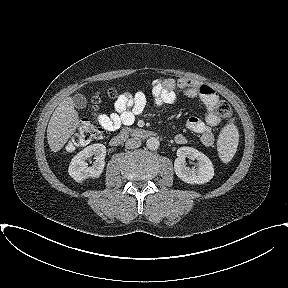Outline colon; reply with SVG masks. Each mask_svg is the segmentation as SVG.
<instances>
[{
    "label": "colon",
    "mask_w": 288,
    "mask_h": 288,
    "mask_svg": "<svg viewBox=\"0 0 288 288\" xmlns=\"http://www.w3.org/2000/svg\"><path fill=\"white\" fill-rule=\"evenodd\" d=\"M109 95L113 98L119 97L115 89H111L109 91ZM99 102H100V96L95 95L93 97V103L95 109L98 108ZM216 109L220 116H222L227 120L231 119L232 112L227 102L219 101ZM105 136H106L105 128L98 126L97 124L89 120H82L78 125L77 131L73 136L70 145L71 146L86 145L96 140L103 139Z\"/></svg>",
    "instance_id": "obj_1"
}]
</instances>
